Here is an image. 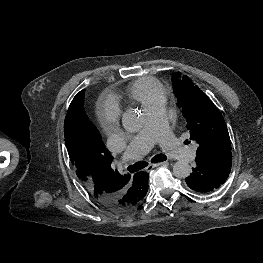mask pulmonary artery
Wrapping results in <instances>:
<instances>
[{
    "label": "pulmonary artery",
    "instance_id": "obj_1",
    "mask_svg": "<svg viewBox=\"0 0 263 263\" xmlns=\"http://www.w3.org/2000/svg\"><path fill=\"white\" fill-rule=\"evenodd\" d=\"M145 112V125L127 146L122 157V163L141 158L156 143L173 158L186 162L195 158L196 148L182 145L171 132L166 118L164 99L146 108Z\"/></svg>",
    "mask_w": 263,
    "mask_h": 263
}]
</instances>
